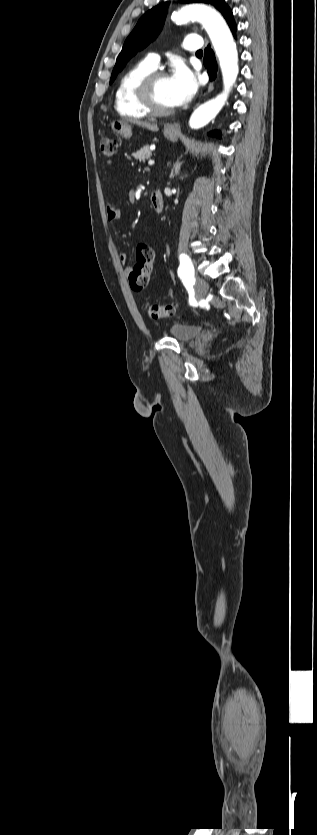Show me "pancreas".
<instances>
[{"label":"pancreas","mask_w":317,"mask_h":835,"mask_svg":"<svg viewBox=\"0 0 317 835\" xmlns=\"http://www.w3.org/2000/svg\"><path fill=\"white\" fill-rule=\"evenodd\" d=\"M152 156V151L149 149V146L146 145L141 148L139 151L133 153V157L140 162H145V160L149 159Z\"/></svg>","instance_id":"cf45deb5"}]
</instances>
